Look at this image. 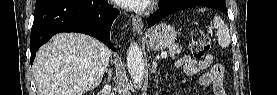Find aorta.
Segmentation results:
<instances>
[{"label":"aorta","instance_id":"aorta-1","mask_svg":"<svg viewBox=\"0 0 277 95\" xmlns=\"http://www.w3.org/2000/svg\"><path fill=\"white\" fill-rule=\"evenodd\" d=\"M127 67L129 74L136 84H140L144 76V59L139 45L131 43L127 52Z\"/></svg>","mask_w":277,"mask_h":95}]
</instances>
